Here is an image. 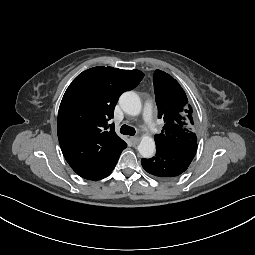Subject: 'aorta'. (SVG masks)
I'll use <instances>...</instances> for the list:
<instances>
[{
	"instance_id": "762f6f07",
	"label": "aorta",
	"mask_w": 255,
	"mask_h": 255,
	"mask_svg": "<svg viewBox=\"0 0 255 255\" xmlns=\"http://www.w3.org/2000/svg\"><path fill=\"white\" fill-rule=\"evenodd\" d=\"M119 104L122 110L132 116H136L141 112V100L133 91L124 92L119 98ZM155 142L150 136L144 135L138 145V151L143 158H151L155 154Z\"/></svg>"
}]
</instances>
